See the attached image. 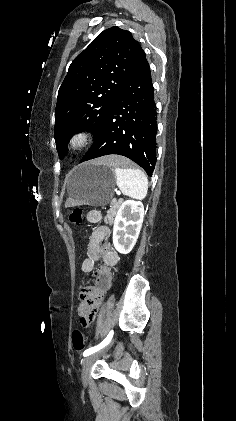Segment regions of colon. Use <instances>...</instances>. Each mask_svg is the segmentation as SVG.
Returning a JSON list of instances; mask_svg holds the SVG:
<instances>
[{"label": "colon", "mask_w": 236, "mask_h": 421, "mask_svg": "<svg viewBox=\"0 0 236 421\" xmlns=\"http://www.w3.org/2000/svg\"><path fill=\"white\" fill-rule=\"evenodd\" d=\"M83 218V209L75 207L69 211V220L73 223H80ZM72 347L77 350H83L86 345V338L80 330H74L71 334Z\"/></svg>", "instance_id": "colon-1"}]
</instances>
